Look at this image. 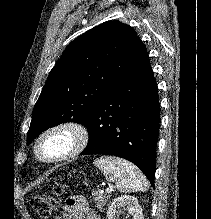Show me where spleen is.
I'll list each match as a JSON object with an SVG mask.
<instances>
[{
    "mask_svg": "<svg viewBox=\"0 0 211 219\" xmlns=\"http://www.w3.org/2000/svg\"><path fill=\"white\" fill-rule=\"evenodd\" d=\"M94 164L120 192H145L149 187L145 176L127 160L107 156L96 159Z\"/></svg>",
    "mask_w": 211,
    "mask_h": 219,
    "instance_id": "spleen-1",
    "label": "spleen"
}]
</instances>
